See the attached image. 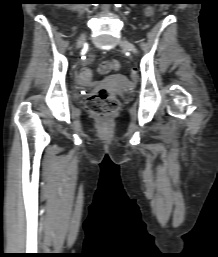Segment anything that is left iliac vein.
<instances>
[{"mask_svg":"<svg viewBox=\"0 0 218 257\" xmlns=\"http://www.w3.org/2000/svg\"><path fill=\"white\" fill-rule=\"evenodd\" d=\"M120 46L124 49H127V50L131 51L134 54H137V49H136L135 45L132 44L131 42H129L128 40H126V39H123L120 42Z\"/></svg>","mask_w":218,"mask_h":257,"instance_id":"1","label":"left iliac vein"}]
</instances>
